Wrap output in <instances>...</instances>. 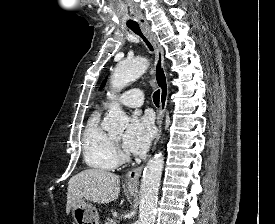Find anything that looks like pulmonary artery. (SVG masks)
<instances>
[{"label": "pulmonary artery", "instance_id": "pulmonary-artery-1", "mask_svg": "<svg viewBox=\"0 0 275 224\" xmlns=\"http://www.w3.org/2000/svg\"><path fill=\"white\" fill-rule=\"evenodd\" d=\"M120 102L127 107H141L144 104V93L141 89L138 88L128 90L120 98ZM104 106H107V103H105Z\"/></svg>", "mask_w": 275, "mask_h": 224}]
</instances>
